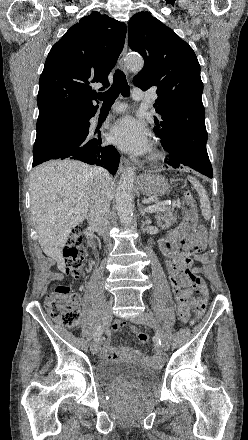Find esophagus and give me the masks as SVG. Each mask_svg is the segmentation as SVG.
<instances>
[{
    "label": "esophagus",
    "instance_id": "34e87169",
    "mask_svg": "<svg viewBox=\"0 0 248 440\" xmlns=\"http://www.w3.org/2000/svg\"><path fill=\"white\" fill-rule=\"evenodd\" d=\"M127 49H128V45H127V36H126V40H125V44H124L123 50H122V52H121V54L119 56V59H118V65L126 73H127V70H126V67H125V57L127 55ZM129 165H130L129 160L122 156L120 158V164H119V168H118L119 173H122Z\"/></svg>",
    "mask_w": 248,
    "mask_h": 440
}]
</instances>
